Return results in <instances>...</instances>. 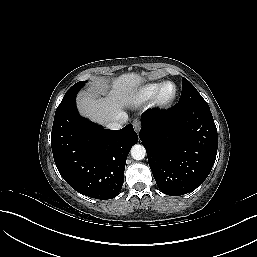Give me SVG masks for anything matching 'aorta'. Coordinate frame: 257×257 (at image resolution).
Returning a JSON list of instances; mask_svg holds the SVG:
<instances>
[{
  "label": "aorta",
  "instance_id": "1",
  "mask_svg": "<svg viewBox=\"0 0 257 257\" xmlns=\"http://www.w3.org/2000/svg\"><path fill=\"white\" fill-rule=\"evenodd\" d=\"M131 156L135 160H142L146 156V150L143 145L136 144L131 148Z\"/></svg>",
  "mask_w": 257,
  "mask_h": 257
}]
</instances>
